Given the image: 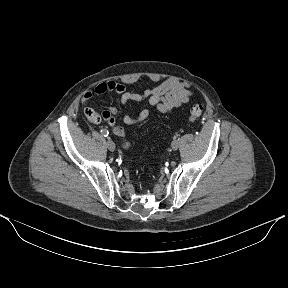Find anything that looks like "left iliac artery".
<instances>
[{
  "label": "left iliac artery",
  "instance_id": "44dca946",
  "mask_svg": "<svg viewBox=\"0 0 288 288\" xmlns=\"http://www.w3.org/2000/svg\"><path fill=\"white\" fill-rule=\"evenodd\" d=\"M171 140L172 141H177L178 140V135L177 134H172L171 135Z\"/></svg>",
  "mask_w": 288,
  "mask_h": 288
}]
</instances>
